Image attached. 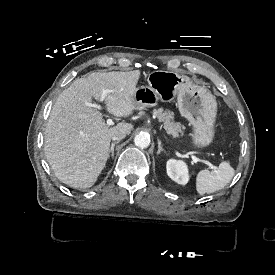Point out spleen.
<instances>
[{
	"instance_id": "1",
	"label": "spleen",
	"mask_w": 275,
	"mask_h": 275,
	"mask_svg": "<svg viewBox=\"0 0 275 275\" xmlns=\"http://www.w3.org/2000/svg\"><path fill=\"white\" fill-rule=\"evenodd\" d=\"M234 173V169L225 161L215 170H201L196 178L197 192L204 195L223 189L232 180Z\"/></svg>"
}]
</instances>
